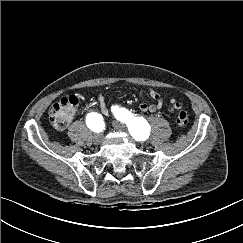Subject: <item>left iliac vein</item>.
<instances>
[{
  "instance_id": "1",
  "label": "left iliac vein",
  "mask_w": 243,
  "mask_h": 243,
  "mask_svg": "<svg viewBox=\"0 0 243 243\" xmlns=\"http://www.w3.org/2000/svg\"><path fill=\"white\" fill-rule=\"evenodd\" d=\"M113 127L118 131H126V125L119 121H113Z\"/></svg>"
}]
</instances>
